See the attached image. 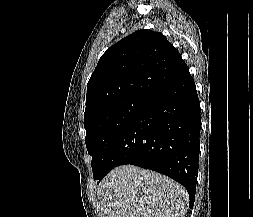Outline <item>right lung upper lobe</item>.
Returning a JSON list of instances; mask_svg holds the SVG:
<instances>
[{"instance_id":"right-lung-upper-lobe-1","label":"right lung upper lobe","mask_w":253,"mask_h":217,"mask_svg":"<svg viewBox=\"0 0 253 217\" xmlns=\"http://www.w3.org/2000/svg\"><path fill=\"white\" fill-rule=\"evenodd\" d=\"M159 32L139 30L111 46L87 84L84 121L101 108L128 97L150 98L186 67Z\"/></svg>"}]
</instances>
